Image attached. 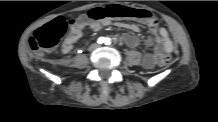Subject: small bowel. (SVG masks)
I'll use <instances>...</instances> for the list:
<instances>
[{"label":"small bowel","mask_w":218,"mask_h":122,"mask_svg":"<svg viewBox=\"0 0 218 122\" xmlns=\"http://www.w3.org/2000/svg\"><path fill=\"white\" fill-rule=\"evenodd\" d=\"M128 8V7H127ZM114 24L117 27L127 29L132 33H124L121 35V40L130 48H136L140 44L139 38L134 33H140L141 28L135 22L113 21L104 19L95 21L88 14L79 16L72 24L68 35L61 43V51L64 54L69 53L77 41L82 37L85 28L89 27L93 31H98L103 25ZM145 46L154 47L152 53H147L143 56L142 63L145 68H153L157 65V61L161 57H166L173 50V42L164 28H159L153 31V34L147 37L144 41Z\"/></svg>","instance_id":"1"}]
</instances>
